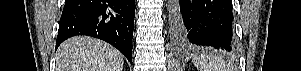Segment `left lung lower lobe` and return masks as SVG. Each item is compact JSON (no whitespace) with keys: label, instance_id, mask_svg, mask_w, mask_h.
Wrapping results in <instances>:
<instances>
[{"label":"left lung lower lobe","instance_id":"1","mask_svg":"<svg viewBox=\"0 0 301 71\" xmlns=\"http://www.w3.org/2000/svg\"><path fill=\"white\" fill-rule=\"evenodd\" d=\"M231 0H171V31L186 47L235 48Z\"/></svg>","mask_w":301,"mask_h":71}]
</instances>
